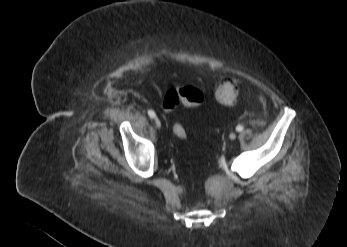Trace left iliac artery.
<instances>
[{
	"instance_id": "44dca946",
	"label": "left iliac artery",
	"mask_w": 347,
	"mask_h": 247,
	"mask_svg": "<svg viewBox=\"0 0 347 247\" xmlns=\"http://www.w3.org/2000/svg\"><path fill=\"white\" fill-rule=\"evenodd\" d=\"M242 130H243V126L242 125H238L236 127V131L241 132Z\"/></svg>"
}]
</instances>
